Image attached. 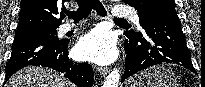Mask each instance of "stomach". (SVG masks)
<instances>
[{
    "instance_id": "stomach-1",
    "label": "stomach",
    "mask_w": 205,
    "mask_h": 87,
    "mask_svg": "<svg viewBox=\"0 0 205 87\" xmlns=\"http://www.w3.org/2000/svg\"><path fill=\"white\" fill-rule=\"evenodd\" d=\"M125 87H178V83L176 75L169 68L157 65L137 73Z\"/></svg>"
}]
</instances>
